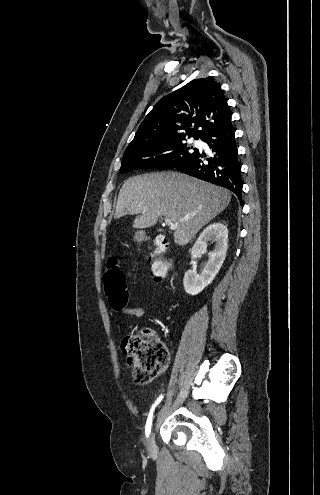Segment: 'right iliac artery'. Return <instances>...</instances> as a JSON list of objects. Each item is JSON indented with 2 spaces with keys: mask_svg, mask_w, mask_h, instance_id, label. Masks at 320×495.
<instances>
[{
  "mask_svg": "<svg viewBox=\"0 0 320 495\" xmlns=\"http://www.w3.org/2000/svg\"><path fill=\"white\" fill-rule=\"evenodd\" d=\"M163 398V395H161L154 403V405L152 406L151 410H150V413H149V416H148V419H147V422H146V426H145V432H146V436L148 437L150 432H151V426H152V417H153V411L155 409V407L159 404V402L162 400Z\"/></svg>",
  "mask_w": 320,
  "mask_h": 495,
  "instance_id": "82829eb1",
  "label": "right iliac artery"
}]
</instances>
